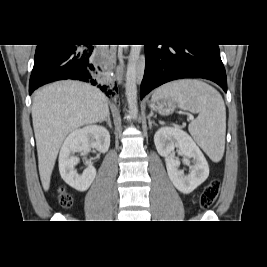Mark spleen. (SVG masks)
Masks as SVG:
<instances>
[{
	"label": "spleen",
	"mask_w": 267,
	"mask_h": 267,
	"mask_svg": "<svg viewBox=\"0 0 267 267\" xmlns=\"http://www.w3.org/2000/svg\"><path fill=\"white\" fill-rule=\"evenodd\" d=\"M171 98L179 108L198 113L188 130L196 143L214 162H219L225 150L226 108L221 94L197 79L173 81L158 88L152 99Z\"/></svg>",
	"instance_id": "spleen-1"
}]
</instances>
